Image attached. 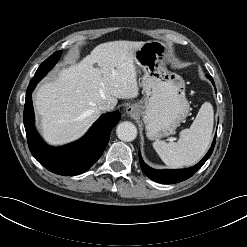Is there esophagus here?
Wrapping results in <instances>:
<instances>
[{
	"label": "esophagus",
	"mask_w": 247,
	"mask_h": 247,
	"mask_svg": "<svg viewBox=\"0 0 247 247\" xmlns=\"http://www.w3.org/2000/svg\"><path fill=\"white\" fill-rule=\"evenodd\" d=\"M126 113L130 116H135L137 114V108L135 106H128L126 108Z\"/></svg>",
	"instance_id": "34e87169"
}]
</instances>
